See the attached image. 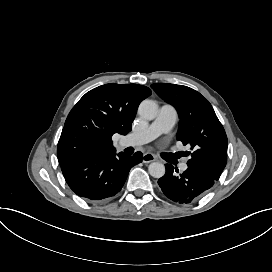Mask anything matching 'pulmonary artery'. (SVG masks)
<instances>
[{
	"label": "pulmonary artery",
	"mask_w": 272,
	"mask_h": 272,
	"mask_svg": "<svg viewBox=\"0 0 272 272\" xmlns=\"http://www.w3.org/2000/svg\"><path fill=\"white\" fill-rule=\"evenodd\" d=\"M177 121L176 111L168 106L164 105L159 109L156 119L145 129L140 131L136 135H127L124 138V142L127 145L130 144H145L152 141L162 133L169 132ZM179 171L184 172L187 169V164L183 161L177 163Z\"/></svg>",
	"instance_id": "obj_1"
}]
</instances>
